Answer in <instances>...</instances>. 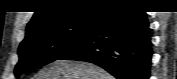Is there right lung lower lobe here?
Returning a JSON list of instances; mask_svg holds the SVG:
<instances>
[{"label":"right lung lower lobe","mask_w":177,"mask_h":79,"mask_svg":"<svg viewBox=\"0 0 177 79\" xmlns=\"http://www.w3.org/2000/svg\"><path fill=\"white\" fill-rule=\"evenodd\" d=\"M151 56L146 13L114 6L104 10L87 38L59 60L91 62L117 79H148Z\"/></svg>","instance_id":"obj_1"}]
</instances>
